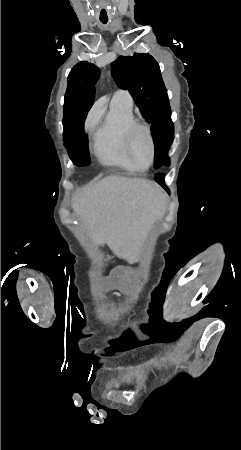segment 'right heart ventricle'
<instances>
[{
	"mask_svg": "<svg viewBox=\"0 0 241 450\" xmlns=\"http://www.w3.org/2000/svg\"><path fill=\"white\" fill-rule=\"evenodd\" d=\"M132 106L129 102L113 101L104 122L91 130L94 152L104 163L131 168L136 162H129V153H125L123 142L124 127L133 122Z\"/></svg>",
	"mask_w": 241,
	"mask_h": 450,
	"instance_id": "obj_1",
	"label": "right heart ventricle"
}]
</instances>
